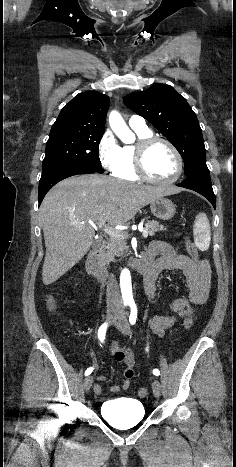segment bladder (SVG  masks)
Wrapping results in <instances>:
<instances>
[{"label": "bladder", "mask_w": 236, "mask_h": 467, "mask_svg": "<svg viewBox=\"0 0 236 467\" xmlns=\"http://www.w3.org/2000/svg\"><path fill=\"white\" fill-rule=\"evenodd\" d=\"M100 412L104 419L116 428L134 426L145 416L142 402L132 398L107 400L102 404Z\"/></svg>", "instance_id": "1"}]
</instances>
